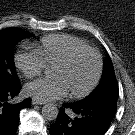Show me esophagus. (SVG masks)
Instances as JSON below:
<instances>
[{"label":"esophagus","instance_id":"1","mask_svg":"<svg viewBox=\"0 0 135 135\" xmlns=\"http://www.w3.org/2000/svg\"><path fill=\"white\" fill-rule=\"evenodd\" d=\"M32 104L33 105H43V104H45V102H42L36 98H32Z\"/></svg>","mask_w":135,"mask_h":135}]
</instances>
